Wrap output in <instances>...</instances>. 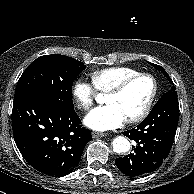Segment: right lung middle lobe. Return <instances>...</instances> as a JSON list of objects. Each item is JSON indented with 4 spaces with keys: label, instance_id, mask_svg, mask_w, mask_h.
Masks as SVG:
<instances>
[{
    "label": "right lung middle lobe",
    "instance_id": "1",
    "mask_svg": "<svg viewBox=\"0 0 194 194\" xmlns=\"http://www.w3.org/2000/svg\"><path fill=\"white\" fill-rule=\"evenodd\" d=\"M85 67L84 63L65 55L41 56L21 75L15 97L40 93L60 101H72L73 80Z\"/></svg>",
    "mask_w": 194,
    "mask_h": 194
}]
</instances>
